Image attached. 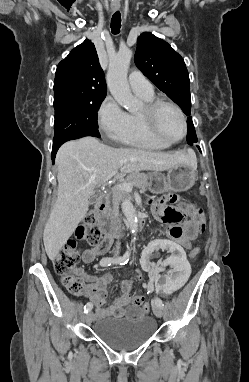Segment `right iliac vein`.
I'll return each mask as SVG.
<instances>
[{"label": "right iliac vein", "instance_id": "right-iliac-vein-1", "mask_svg": "<svg viewBox=\"0 0 249 382\" xmlns=\"http://www.w3.org/2000/svg\"><path fill=\"white\" fill-rule=\"evenodd\" d=\"M93 318H94V314L93 312L90 311L85 315V322L89 324L92 322Z\"/></svg>", "mask_w": 249, "mask_h": 382}]
</instances>
